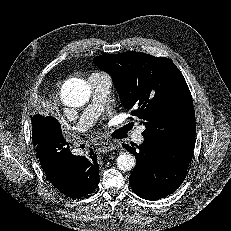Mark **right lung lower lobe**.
<instances>
[{
	"mask_svg": "<svg viewBox=\"0 0 231 231\" xmlns=\"http://www.w3.org/2000/svg\"><path fill=\"white\" fill-rule=\"evenodd\" d=\"M32 125L33 145L40 165L54 187L71 198L92 192L100 180L93 150L87 156L73 155L71 144L66 142L59 122L53 117H44Z\"/></svg>",
	"mask_w": 231,
	"mask_h": 231,
	"instance_id": "98d812e1",
	"label": "right lung lower lobe"
}]
</instances>
